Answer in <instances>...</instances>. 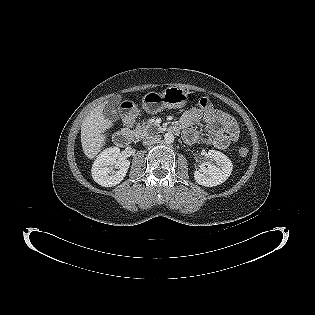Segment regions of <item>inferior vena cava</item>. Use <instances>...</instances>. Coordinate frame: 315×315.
Segmentation results:
<instances>
[{
	"label": "inferior vena cava",
	"mask_w": 315,
	"mask_h": 315,
	"mask_svg": "<svg viewBox=\"0 0 315 315\" xmlns=\"http://www.w3.org/2000/svg\"><path fill=\"white\" fill-rule=\"evenodd\" d=\"M160 140H161V136L158 135V134L149 135V136H146L143 139V145L144 146H149V145H152V144H156V143H159Z\"/></svg>",
	"instance_id": "obj_1"
}]
</instances>
